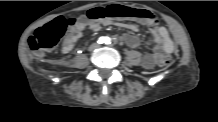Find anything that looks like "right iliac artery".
Segmentation results:
<instances>
[{
    "label": "right iliac artery",
    "instance_id": "obj_1",
    "mask_svg": "<svg viewBox=\"0 0 218 122\" xmlns=\"http://www.w3.org/2000/svg\"><path fill=\"white\" fill-rule=\"evenodd\" d=\"M104 42H105V38H104V37H100V38L98 39V43L102 44V43H104Z\"/></svg>",
    "mask_w": 218,
    "mask_h": 122
}]
</instances>
